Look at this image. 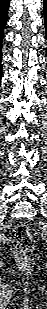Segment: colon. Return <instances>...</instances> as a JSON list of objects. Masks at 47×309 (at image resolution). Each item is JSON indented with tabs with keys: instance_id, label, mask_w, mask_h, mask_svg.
Instances as JSON below:
<instances>
[{
	"instance_id": "colon-1",
	"label": "colon",
	"mask_w": 47,
	"mask_h": 309,
	"mask_svg": "<svg viewBox=\"0 0 47 309\" xmlns=\"http://www.w3.org/2000/svg\"><path fill=\"white\" fill-rule=\"evenodd\" d=\"M12 243L18 265L23 269H29L33 265L30 253L33 250L34 240L29 228L25 225L15 227L12 233Z\"/></svg>"
}]
</instances>
